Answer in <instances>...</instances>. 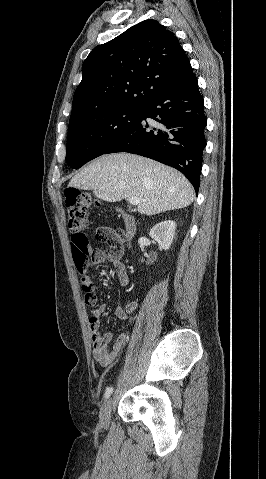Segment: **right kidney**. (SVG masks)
Returning a JSON list of instances; mask_svg holds the SVG:
<instances>
[{
	"mask_svg": "<svg viewBox=\"0 0 266 479\" xmlns=\"http://www.w3.org/2000/svg\"><path fill=\"white\" fill-rule=\"evenodd\" d=\"M176 223L172 220L159 222L150 230V237L154 239L163 250H168L175 235Z\"/></svg>",
	"mask_w": 266,
	"mask_h": 479,
	"instance_id": "1",
	"label": "right kidney"
}]
</instances>
